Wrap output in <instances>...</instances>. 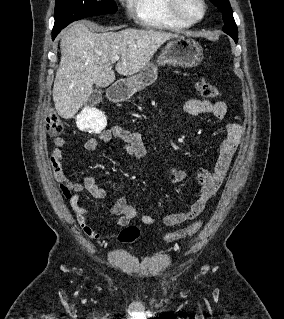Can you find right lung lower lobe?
<instances>
[{
    "mask_svg": "<svg viewBox=\"0 0 284 319\" xmlns=\"http://www.w3.org/2000/svg\"><path fill=\"white\" fill-rule=\"evenodd\" d=\"M57 34H58V33H56V32H52V39H54Z\"/></svg>",
    "mask_w": 284,
    "mask_h": 319,
    "instance_id": "obj_1",
    "label": "right lung lower lobe"
}]
</instances>
